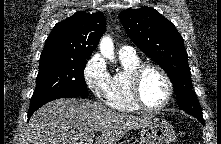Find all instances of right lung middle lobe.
Returning <instances> with one entry per match:
<instances>
[{"label":"right lung middle lobe","instance_id":"obj_1","mask_svg":"<svg viewBox=\"0 0 221 144\" xmlns=\"http://www.w3.org/2000/svg\"><path fill=\"white\" fill-rule=\"evenodd\" d=\"M87 60L40 59L36 88L29 111L65 95L88 96L84 79Z\"/></svg>","mask_w":221,"mask_h":144}]
</instances>
